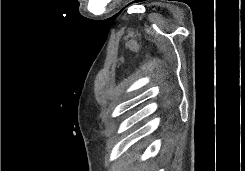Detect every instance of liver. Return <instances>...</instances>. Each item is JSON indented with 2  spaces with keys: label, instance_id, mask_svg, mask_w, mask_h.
<instances>
[{
  "label": "liver",
  "instance_id": "1",
  "mask_svg": "<svg viewBox=\"0 0 245 171\" xmlns=\"http://www.w3.org/2000/svg\"><path fill=\"white\" fill-rule=\"evenodd\" d=\"M132 169H134V171H143V170H142L143 167H140V168H132Z\"/></svg>",
  "mask_w": 245,
  "mask_h": 171
}]
</instances>
